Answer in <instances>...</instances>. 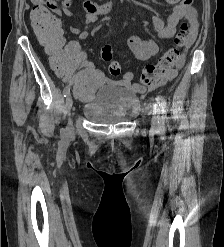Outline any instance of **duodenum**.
I'll return each mask as SVG.
<instances>
[{
  "instance_id": "duodenum-1",
  "label": "duodenum",
  "mask_w": 224,
  "mask_h": 247,
  "mask_svg": "<svg viewBox=\"0 0 224 247\" xmlns=\"http://www.w3.org/2000/svg\"><path fill=\"white\" fill-rule=\"evenodd\" d=\"M114 4L111 0H108L101 4H93L91 1H87L86 9L94 11L99 14H108L113 10Z\"/></svg>"
}]
</instances>
